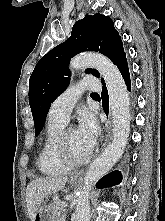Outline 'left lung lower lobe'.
<instances>
[{"instance_id":"obj_1","label":"left lung lower lobe","mask_w":165,"mask_h":221,"mask_svg":"<svg viewBox=\"0 0 165 221\" xmlns=\"http://www.w3.org/2000/svg\"><path fill=\"white\" fill-rule=\"evenodd\" d=\"M117 67L124 78L127 89L131 91V81H130L129 68L127 64L126 55L123 56L121 60L117 63ZM102 83H104V81ZM101 98H102L103 110L106 114H108L109 98H108V92H107L105 84L103 85ZM121 181H122L121 173L119 171H113L109 173L108 175L104 176L101 180H99L97 183V187L98 188L112 187L114 185L119 184Z\"/></svg>"}]
</instances>
